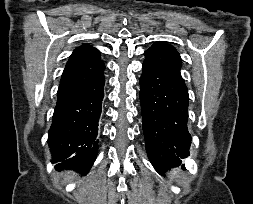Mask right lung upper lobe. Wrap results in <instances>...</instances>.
I'll return each mask as SVG.
<instances>
[{"mask_svg": "<svg viewBox=\"0 0 253 204\" xmlns=\"http://www.w3.org/2000/svg\"><path fill=\"white\" fill-rule=\"evenodd\" d=\"M95 48L87 45V44H83L80 47L76 48L74 50V52L72 53V55L70 56L69 61L67 62V64L71 63L73 60H75L76 58H78L79 56L83 55L86 52H89L91 50H94Z\"/></svg>", "mask_w": 253, "mask_h": 204, "instance_id": "1", "label": "right lung upper lobe"}]
</instances>
